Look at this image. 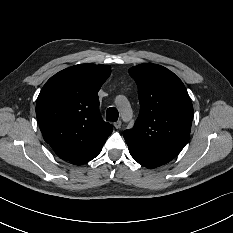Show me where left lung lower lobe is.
Masks as SVG:
<instances>
[{"instance_id":"obj_1","label":"left lung lower lobe","mask_w":233,"mask_h":233,"mask_svg":"<svg viewBox=\"0 0 233 233\" xmlns=\"http://www.w3.org/2000/svg\"><path fill=\"white\" fill-rule=\"evenodd\" d=\"M125 141L129 147L131 156L138 163L147 168H155L161 166L173 159L171 157L161 155L159 153L146 149L131 140L125 139Z\"/></svg>"}]
</instances>
